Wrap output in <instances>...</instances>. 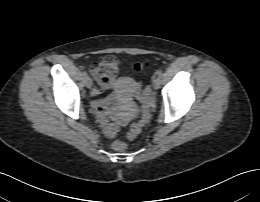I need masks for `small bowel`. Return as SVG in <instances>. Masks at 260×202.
Segmentation results:
<instances>
[{
	"mask_svg": "<svg viewBox=\"0 0 260 202\" xmlns=\"http://www.w3.org/2000/svg\"><path fill=\"white\" fill-rule=\"evenodd\" d=\"M114 86L115 83L113 81L100 83V88L94 89L92 95L94 98H98L104 91H114ZM114 104H116V109L111 111V107ZM92 109L104 134L109 138H114L121 128L129 123L132 117V109L120 101L115 92L102 99L94 100Z\"/></svg>",
	"mask_w": 260,
	"mask_h": 202,
	"instance_id": "c3829d8e",
	"label": "small bowel"
}]
</instances>
